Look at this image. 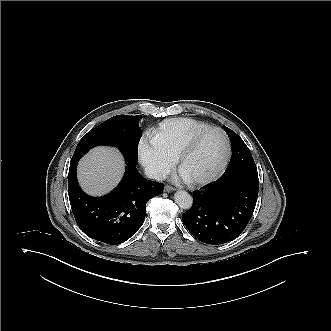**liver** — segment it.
Listing matches in <instances>:
<instances>
[{"mask_svg":"<svg viewBox=\"0 0 331 331\" xmlns=\"http://www.w3.org/2000/svg\"><path fill=\"white\" fill-rule=\"evenodd\" d=\"M124 166V159L116 149L96 147L79 162V183L86 193L103 195L118 184L124 173Z\"/></svg>","mask_w":331,"mask_h":331,"instance_id":"1","label":"liver"}]
</instances>
